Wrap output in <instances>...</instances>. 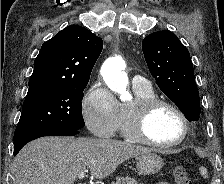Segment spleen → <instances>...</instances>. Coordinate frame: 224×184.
I'll use <instances>...</instances> for the list:
<instances>
[{
    "label": "spleen",
    "instance_id": "3e777b00",
    "mask_svg": "<svg viewBox=\"0 0 224 184\" xmlns=\"http://www.w3.org/2000/svg\"><path fill=\"white\" fill-rule=\"evenodd\" d=\"M200 174L201 176H203V178L207 179L208 178V173H207V169L205 167H200L199 168Z\"/></svg>",
    "mask_w": 224,
    "mask_h": 184
}]
</instances>
